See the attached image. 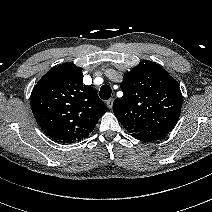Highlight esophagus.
<instances>
[{
	"instance_id": "esophagus-1",
	"label": "esophagus",
	"mask_w": 212,
	"mask_h": 212,
	"mask_svg": "<svg viewBox=\"0 0 212 212\" xmlns=\"http://www.w3.org/2000/svg\"><path fill=\"white\" fill-rule=\"evenodd\" d=\"M106 105L109 109H112L113 107V99H109L107 102H106Z\"/></svg>"
}]
</instances>
